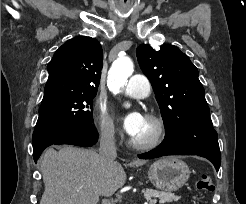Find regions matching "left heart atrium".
<instances>
[{
  "instance_id": "39dd6f15",
  "label": "left heart atrium",
  "mask_w": 246,
  "mask_h": 204,
  "mask_svg": "<svg viewBox=\"0 0 246 204\" xmlns=\"http://www.w3.org/2000/svg\"><path fill=\"white\" fill-rule=\"evenodd\" d=\"M143 121L144 117L138 111H131L122 118L123 128L130 136H134L139 131Z\"/></svg>"
}]
</instances>
